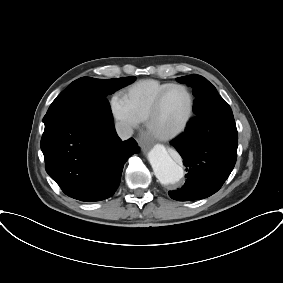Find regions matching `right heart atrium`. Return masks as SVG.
<instances>
[{"instance_id": "obj_1", "label": "right heart atrium", "mask_w": 283, "mask_h": 283, "mask_svg": "<svg viewBox=\"0 0 283 283\" xmlns=\"http://www.w3.org/2000/svg\"><path fill=\"white\" fill-rule=\"evenodd\" d=\"M110 109L114 119L120 124L122 131L129 135L138 127V121L131 114L121 96L114 95L110 101Z\"/></svg>"}]
</instances>
